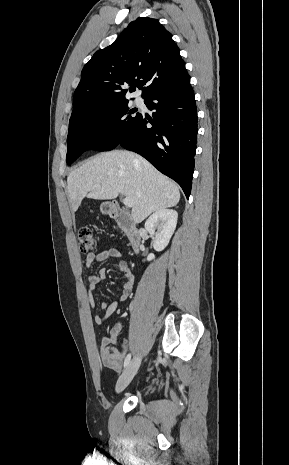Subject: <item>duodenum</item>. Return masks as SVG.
Returning <instances> with one entry per match:
<instances>
[{
  "instance_id": "1",
  "label": "duodenum",
  "mask_w": 289,
  "mask_h": 465,
  "mask_svg": "<svg viewBox=\"0 0 289 465\" xmlns=\"http://www.w3.org/2000/svg\"><path fill=\"white\" fill-rule=\"evenodd\" d=\"M105 212L117 221L119 226L127 235L134 252H138L141 246V234L135 226L131 216L120 208L117 202L112 201L108 204Z\"/></svg>"
}]
</instances>
